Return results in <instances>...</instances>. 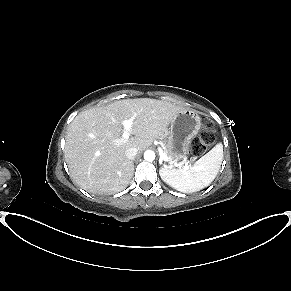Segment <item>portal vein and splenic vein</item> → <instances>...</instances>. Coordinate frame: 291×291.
Segmentation results:
<instances>
[{"label": "portal vein and splenic vein", "mask_w": 291, "mask_h": 291, "mask_svg": "<svg viewBox=\"0 0 291 291\" xmlns=\"http://www.w3.org/2000/svg\"><path fill=\"white\" fill-rule=\"evenodd\" d=\"M121 123L124 127V131H123L122 138L120 141L123 142V141H126L131 134L130 131H131L132 123H133V118L125 119ZM158 150H159V154H160L161 159L165 160L167 157L166 154L163 152V150L161 148H159Z\"/></svg>", "instance_id": "1"}]
</instances>
